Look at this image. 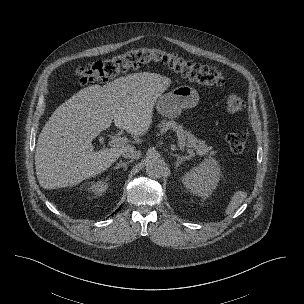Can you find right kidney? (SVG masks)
Instances as JSON below:
<instances>
[{
    "mask_svg": "<svg viewBox=\"0 0 304 304\" xmlns=\"http://www.w3.org/2000/svg\"><path fill=\"white\" fill-rule=\"evenodd\" d=\"M87 189L96 195H102L108 189V183L105 180L93 181Z\"/></svg>",
    "mask_w": 304,
    "mask_h": 304,
    "instance_id": "obj_1",
    "label": "right kidney"
}]
</instances>
